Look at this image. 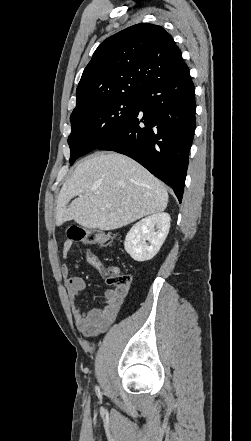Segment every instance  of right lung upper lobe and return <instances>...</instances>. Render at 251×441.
Instances as JSON below:
<instances>
[{
    "label": "right lung upper lobe",
    "mask_w": 251,
    "mask_h": 441,
    "mask_svg": "<svg viewBox=\"0 0 251 441\" xmlns=\"http://www.w3.org/2000/svg\"><path fill=\"white\" fill-rule=\"evenodd\" d=\"M186 66L164 28L148 23L128 27L104 40L94 52L78 84L72 114L100 99L141 95Z\"/></svg>",
    "instance_id": "obj_1"
}]
</instances>
